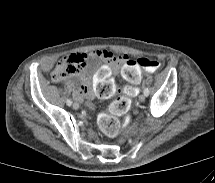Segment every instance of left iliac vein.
Wrapping results in <instances>:
<instances>
[{
  "instance_id": "left-iliac-vein-1",
  "label": "left iliac vein",
  "mask_w": 215,
  "mask_h": 183,
  "mask_svg": "<svg viewBox=\"0 0 215 183\" xmlns=\"http://www.w3.org/2000/svg\"><path fill=\"white\" fill-rule=\"evenodd\" d=\"M145 97H146L145 94H141V95L139 96V100H140V101H144V100H145Z\"/></svg>"
}]
</instances>
